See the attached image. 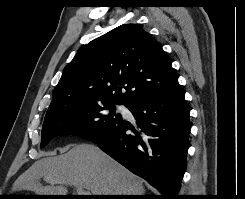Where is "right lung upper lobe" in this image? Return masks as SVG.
Segmentation results:
<instances>
[{
    "instance_id": "1",
    "label": "right lung upper lobe",
    "mask_w": 245,
    "mask_h": 199,
    "mask_svg": "<svg viewBox=\"0 0 245 199\" xmlns=\"http://www.w3.org/2000/svg\"><path fill=\"white\" fill-rule=\"evenodd\" d=\"M176 82L162 46L139 25L124 24L79 49L64 68L46 116L79 104L126 106Z\"/></svg>"
}]
</instances>
